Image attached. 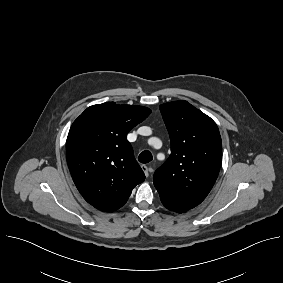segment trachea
I'll use <instances>...</instances> for the list:
<instances>
[{
  "mask_svg": "<svg viewBox=\"0 0 283 283\" xmlns=\"http://www.w3.org/2000/svg\"><path fill=\"white\" fill-rule=\"evenodd\" d=\"M153 159L152 154L149 151H143L142 153H140V155L138 156V160L141 163H148Z\"/></svg>",
  "mask_w": 283,
  "mask_h": 283,
  "instance_id": "trachea-1",
  "label": "trachea"
}]
</instances>
